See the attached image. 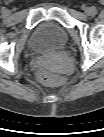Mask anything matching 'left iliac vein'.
<instances>
[{
    "instance_id": "1",
    "label": "left iliac vein",
    "mask_w": 104,
    "mask_h": 137,
    "mask_svg": "<svg viewBox=\"0 0 104 137\" xmlns=\"http://www.w3.org/2000/svg\"><path fill=\"white\" fill-rule=\"evenodd\" d=\"M85 12H86L87 14H90V13H91V8H86V9H85Z\"/></svg>"
}]
</instances>
